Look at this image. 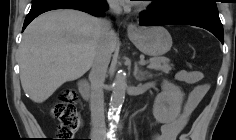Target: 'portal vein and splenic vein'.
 Wrapping results in <instances>:
<instances>
[{"label":"portal vein and splenic vein","instance_id":"portal-vein-and-splenic-vein-1","mask_svg":"<svg viewBox=\"0 0 236 140\" xmlns=\"http://www.w3.org/2000/svg\"><path fill=\"white\" fill-rule=\"evenodd\" d=\"M139 64L145 65V64H146V61H145L144 59H140Z\"/></svg>","mask_w":236,"mask_h":140}]
</instances>
